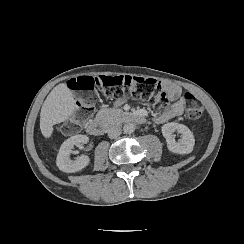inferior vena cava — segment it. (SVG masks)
Masks as SVG:
<instances>
[{"label": "inferior vena cava", "mask_w": 244, "mask_h": 244, "mask_svg": "<svg viewBox=\"0 0 244 244\" xmlns=\"http://www.w3.org/2000/svg\"><path fill=\"white\" fill-rule=\"evenodd\" d=\"M121 134V128L113 125L108 129V136L109 138H116Z\"/></svg>", "instance_id": "obj_1"}]
</instances>
